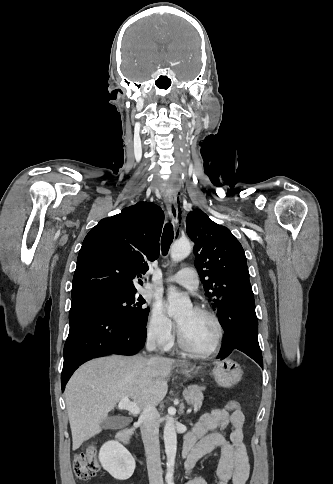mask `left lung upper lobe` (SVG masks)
<instances>
[{"label": "left lung upper lobe", "mask_w": 333, "mask_h": 484, "mask_svg": "<svg viewBox=\"0 0 333 484\" xmlns=\"http://www.w3.org/2000/svg\"><path fill=\"white\" fill-rule=\"evenodd\" d=\"M186 228L195 243V266L203 288L218 309L225 295L249 283L244 250L228 228L216 224L199 209L188 214ZM230 300L236 303L237 298L232 296Z\"/></svg>", "instance_id": "left-lung-upper-lobe-1"}]
</instances>
